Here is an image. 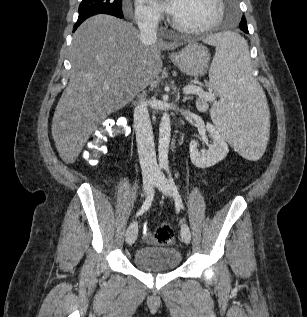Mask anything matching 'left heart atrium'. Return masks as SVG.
I'll return each instance as SVG.
<instances>
[{
    "label": "left heart atrium",
    "mask_w": 307,
    "mask_h": 317,
    "mask_svg": "<svg viewBox=\"0 0 307 317\" xmlns=\"http://www.w3.org/2000/svg\"><path fill=\"white\" fill-rule=\"evenodd\" d=\"M180 0H158L155 2L156 6L160 9L174 14L178 8Z\"/></svg>",
    "instance_id": "obj_1"
}]
</instances>
